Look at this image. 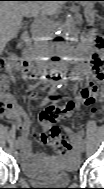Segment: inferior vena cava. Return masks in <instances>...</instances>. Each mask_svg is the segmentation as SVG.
I'll use <instances>...</instances> for the list:
<instances>
[{
    "instance_id": "602c4592",
    "label": "inferior vena cava",
    "mask_w": 104,
    "mask_h": 189,
    "mask_svg": "<svg viewBox=\"0 0 104 189\" xmlns=\"http://www.w3.org/2000/svg\"><path fill=\"white\" fill-rule=\"evenodd\" d=\"M48 33L49 31L46 17L43 13L36 15L31 26V34L34 40V52L36 55L37 65H42L41 69L39 70L40 72H43L39 74V77L42 79L49 75L48 73H44L47 70L45 69V62L43 61V56L47 55L48 53L49 43L46 39ZM41 83H46V80H41Z\"/></svg>"
}]
</instances>
